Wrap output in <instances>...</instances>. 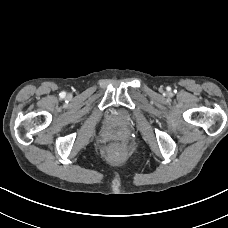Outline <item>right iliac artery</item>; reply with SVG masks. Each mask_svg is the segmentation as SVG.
<instances>
[{
  "instance_id": "82829eb1",
  "label": "right iliac artery",
  "mask_w": 228,
  "mask_h": 228,
  "mask_svg": "<svg viewBox=\"0 0 228 228\" xmlns=\"http://www.w3.org/2000/svg\"><path fill=\"white\" fill-rule=\"evenodd\" d=\"M61 96H62V97L65 96V92H62V93H61Z\"/></svg>"
}]
</instances>
